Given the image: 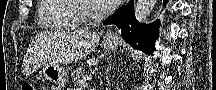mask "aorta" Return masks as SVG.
Returning a JSON list of instances; mask_svg holds the SVG:
<instances>
[{
    "mask_svg": "<svg viewBox=\"0 0 216 90\" xmlns=\"http://www.w3.org/2000/svg\"><path fill=\"white\" fill-rule=\"evenodd\" d=\"M155 4L156 0H137L134 12L136 22H139V24L147 22Z\"/></svg>",
    "mask_w": 216,
    "mask_h": 90,
    "instance_id": "obj_1",
    "label": "aorta"
}]
</instances>
